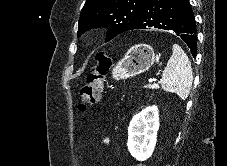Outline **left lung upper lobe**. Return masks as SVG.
<instances>
[{
  "label": "left lung upper lobe",
  "mask_w": 227,
  "mask_h": 166,
  "mask_svg": "<svg viewBox=\"0 0 227 166\" xmlns=\"http://www.w3.org/2000/svg\"><path fill=\"white\" fill-rule=\"evenodd\" d=\"M147 0H86L80 14V36L92 28L108 27L106 41L133 30Z\"/></svg>",
  "instance_id": "1"
}]
</instances>
